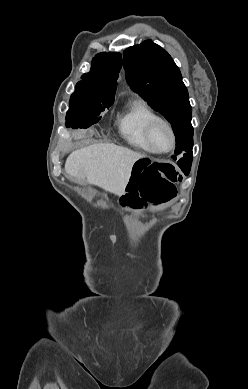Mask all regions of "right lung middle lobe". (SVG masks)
I'll list each match as a JSON object with an SVG mask.
<instances>
[{
	"label": "right lung middle lobe",
	"mask_w": 248,
	"mask_h": 389,
	"mask_svg": "<svg viewBox=\"0 0 248 389\" xmlns=\"http://www.w3.org/2000/svg\"><path fill=\"white\" fill-rule=\"evenodd\" d=\"M114 96L88 91L78 83L70 99V109L66 115V126L87 128L97 123L101 118L98 115L113 104Z\"/></svg>",
	"instance_id": "obj_1"
}]
</instances>
